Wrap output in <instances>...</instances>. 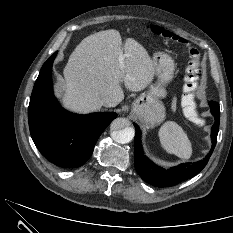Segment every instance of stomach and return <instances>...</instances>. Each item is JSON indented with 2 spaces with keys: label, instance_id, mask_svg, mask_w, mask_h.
<instances>
[{
  "label": "stomach",
  "instance_id": "stomach-1",
  "mask_svg": "<svg viewBox=\"0 0 233 233\" xmlns=\"http://www.w3.org/2000/svg\"><path fill=\"white\" fill-rule=\"evenodd\" d=\"M153 66L156 82L132 106V113L140 122L151 127L159 125L165 119V107L160 99L167 95L166 86L174 76L175 63L171 56L159 52L153 57Z\"/></svg>",
  "mask_w": 233,
  "mask_h": 233
}]
</instances>
